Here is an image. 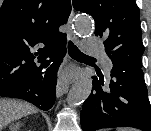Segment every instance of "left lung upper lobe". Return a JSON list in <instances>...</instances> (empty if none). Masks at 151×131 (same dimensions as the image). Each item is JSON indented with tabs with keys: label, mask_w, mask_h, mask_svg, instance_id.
Masks as SVG:
<instances>
[{
	"label": "left lung upper lobe",
	"mask_w": 151,
	"mask_h": 131,
	"mask_svg": "<svg viewBox=\"0 0 151 131\" xmlns=\"http://www.w3.org/2000/svg\"><path fill=\"white\" fill-rule=\"evenodd\" d=\"M73 7L94 18L95 35L105 40V50L114 68L142 67L144 46L135 0H73Z\"/></svg>",
	"instance_id": "5c2ea615"
}]
</instances>
